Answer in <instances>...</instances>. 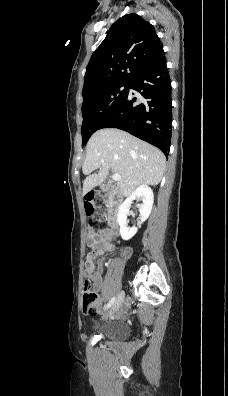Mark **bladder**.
I'll return each instance as SVG.
<instances>
[{"instance_id":"bladder-1","label":"bladder","mask_w":228,"mask_h":396,"mask_svg":"<svg viewBox=\"0 0 228 396\" xmlns=\"http://www.w3.org/2000/svg\"><path fill=\"white\" fill-rule=\"evenodd\" d=\"M96 331L99 336L108 340H123L129 334L127 326L119 322H111L104 326H97Z\"/></svg>"}]
</instances>
